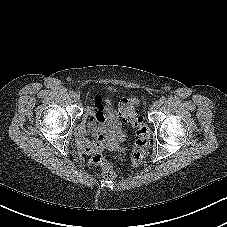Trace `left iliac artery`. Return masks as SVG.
Here are the masks:
<instances>
[{
  "label": "left iliac artery",
  "instance_id": "left-iliac-artery-1",
  "mask_svg": "<svg viewBox=\"0 0 227 227\" xmlns=\"http://www.w3.org/2000/svg\"><path fill=\"white\" fill-rule=\"evenodd\" d=\"M159 101H160V102H161V104H162V103H164V102L166 101V98L163 96V97H161V98H160V100H159Z\"/></svg>",
  "mask_w": 227,
  "mask_h": 227
}]
</instances>
